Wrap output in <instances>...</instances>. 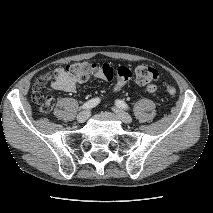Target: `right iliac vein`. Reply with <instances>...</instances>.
Returning a JSON list of instances; mask_svg holds the SVG:
<instances>
[{
    "instance_id": "right-iliac-vein-1",
    "label": "right iliac vein",
    "mask_w": 213,
    "mask_h": 213,
    "mask_svg": "<svg viewBox=\"0 0 213 213\" xmlns=\"http://www.w3.org/2000/svg\"><path fill=\"white\" fill-rule=\"evenodd\" d=\"M90 116L89 111H82L77 115V121L79 123H84Z\"/></svg>"
}]
</instances>
